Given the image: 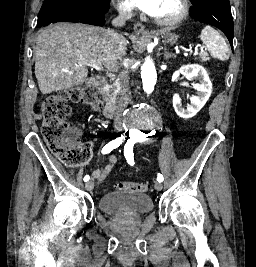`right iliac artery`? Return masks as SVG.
<instances>
[{
  "label": "right iliac artery",
  "instance_id": "right-iliac-artery-1",
  "mask_svg": "<svg viewBox=\"0 0 256 267\" xmlns=\"http://www.w3.org/2000/svg\"><path fill=\"white\" fill-rule=\"evenodd\" d=\"M123 140H125V137L123 136L116 138L115 140H112L103 147L102 154L110 153L113 149L117 148L123 142ZM89 179H90L89 175H86L83 180L87 182Z\"/></svg>",
  "mask_w": 256,
  "mask_h": 267
}]
</instances>
